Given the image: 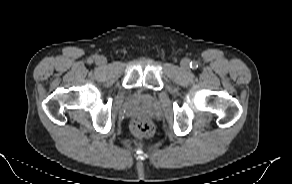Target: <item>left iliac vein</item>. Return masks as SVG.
<instances>
[{
    "label": "left iliac vein",
    "instance_id": "left-iliac-vein-1",
    "mask_svg": "<svg viewBox=\"0 0 292 184\" xmlns=\"http://www.w3.org/2000/svg\"><path fill=\"white\" fill-rule=\"evenodd\" d=\"M181 65H182L183 68H187L188 65H189V60L188 59H183Z\"/></svg>",
    "mask_w": 292,
    "mask_h": 184
}]
</instances>
